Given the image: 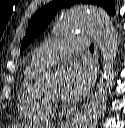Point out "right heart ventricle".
<instances>
[{
  "instance_id": "1",
  "label": "right heart ventricle",
  "mask_w": 125,
  "mask_h": 128,
  "mask_svg": "<svg viewBox=\"0 0 125 128\" xmlns=\"http://www.w3.org/2000/svg\"><path fill=\"white\" fill-rule=\"evenodd\" d=\"M41 66L32 61L26 66L18 93V110L26 120L47 122L53 117V106L46 95L35 85Z\"/></svg>"
}]
</instances>
